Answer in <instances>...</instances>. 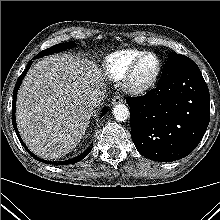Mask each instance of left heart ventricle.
Listing matches in <instances>:
<instances>
[{
	"label": "left heart ventricle",
	"instance_id": "b2bd125f",
	"mask_svg": "<svg viewBox=\"0 0 220 220\" xmlns=\"http://www.w3.org/2000/svg\"><path fill=\"white\" fill-rule=\"evenodd\" d=\"M156 67V60L152 56L146 57L139 65L136 72V79L138 81H144L149 78L154 72Z\"/></svg>",
	"mask_w": 220,
	"mask_h": 220
}]
</instances>
